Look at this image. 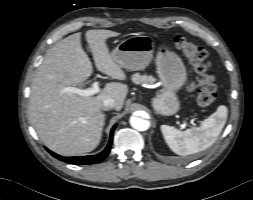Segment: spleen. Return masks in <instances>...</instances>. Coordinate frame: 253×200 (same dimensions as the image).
<instances>
[{
	"instance_id": "1",
	"label": "spleen",
	"mask_w": 253,
	"mask_h": 200,
	"mask_svg": "<svg viewBox=\"0 0 253 200\" xmlns=\"http://www.w3.org/2000/svg\"><path fill=\"white\" fill-rule=\"evenodd\" d=\"M227 115V107L221 105L215 113L202 121L199 127L180 131L172 126L162 125L161 131L173 152L178 155H190L213 145L226 123Z\"/></svg>"
}]
</instances>
